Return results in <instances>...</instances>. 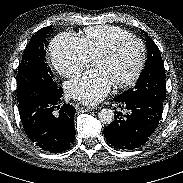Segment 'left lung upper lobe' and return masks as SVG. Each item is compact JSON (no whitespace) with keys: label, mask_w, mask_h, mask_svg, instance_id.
Instances as JSON below:
<instances>
[{"label":"left lung upper lobe","mask_w":183,"mask_h":183,"mask_svg":"<svg viewBox=\"0 0 183 183\" xmlns=\"http://www.w3.org/2000/svg\"><path fill=\"white\" fill-rule=\"evenodd\" d=\"M148 58L138 81L133 88L119 96L140 100L163 109L166 97L165 69L157 45L147 37Z\"/></svg>","instance_id":"1"}]
</instances>
